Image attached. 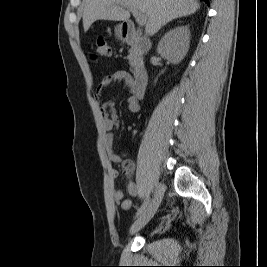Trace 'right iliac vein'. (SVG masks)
<instances>
[{
	"mask_svg": "<svg viewBox=\"0 0 267 267\" xmlns=\"http://www.w3.org/2000/svg\"><path fill=\"white\" fill-rule=\"evenodd\" d=\"M164 192H165L164 184L158 183L156 185L152 201L147 206L142 215H140V217L130 227L129 233L131 235L141 230L152 219L163 199Z\"/></svg>",
	"mask_w": 267,
	"mask_h": 267,
	"instance_id": "right-iliac-vein-1",
	"label": "right iliac vein"
}]
</instances>
